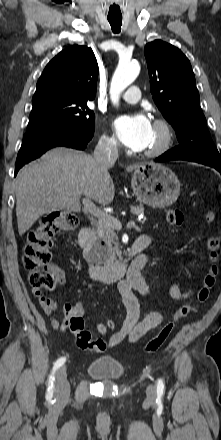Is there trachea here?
<instances>
[{
	"label": "trachea",
	"instance_id": "1",
	"mask_svg": "<svg viewBox=\"0 0 221 440\" xmlns=\"http://www.w3.org/2000/svg\"><path fill=\"white\" fill-rule=\"evenodd\" d=\"M108 21L111 25V29L113 33H119L122 25V17H108Z\"/></svg>",
	"mask_w": 221,
	"mask_h": 440
}]
</instances>
